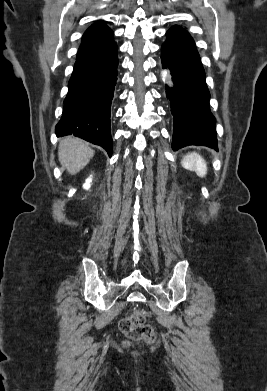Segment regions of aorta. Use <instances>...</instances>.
Masks as SVG:
<instances>
[{"instance_id":"1","label":"aorta","mask_w":267,"mask_h":391,"mask_svg":"<svg viewBox=\"0 0 267 391\" xmlns=\"http://www.w3.org/2000/svg\"><path fill=\"white\" fill-rule=\"evenodd\" d=\"M162 79L164 82H167L169 80V75L166 70L162 72Z\"/></svg>"}]
</instances>
